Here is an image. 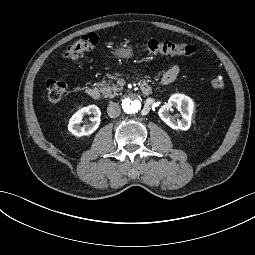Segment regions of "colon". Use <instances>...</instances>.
Instances as JSON below:
<instances>
[{
  "label": "colon",
  "mask_w": 255,
  "mask_h": 255,
  "mask_svg": "<svg viewBox=\"0 0 255 255\" xmlns=\"http://www.w3.org/2000/svg\"><path fill=\"white\" fill-rule=\"evenodd\" d=\"M97 44L98 37L96 34H86L68 46L63 52V56L68 60L78 61L86 53L93 52ZM142 48L149 54H162L171 56H191L196 51L195 46L190 44L158 41L153 39L145 40L142 44ZM211 86L214 89H222L224 87V81L221 78H215L211 81ZM46 89L48 100L51 103H57L66 94L68 85L64 81L51 79L47 81Z\"/></svg>",
  "instance_id": "colon-1"
}]
</instances>
